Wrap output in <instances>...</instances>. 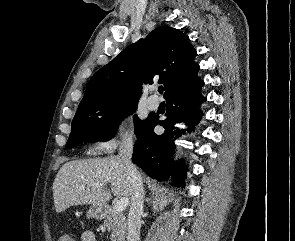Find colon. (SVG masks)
<instances>
[{"label":"colon","mask_w":295,"mask_h":241,"mask_svg":"<svg viewBox=\"0 0 295 241\" xmlns=\"http://www.w3.org/2000/svg\"><path fill=\"white\" fill-rule=\"evenodd\" d=\"M64 241H73L72 237L68 234L63 235Z\"/></svg>","instance_id":"1"}]
</instances>
